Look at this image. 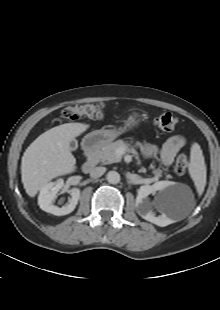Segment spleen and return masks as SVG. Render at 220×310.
Listing matches in <instances>:
<instances>
[{"instance_id": "spleen-1", "label": "spleen", "mask_w": 220, "mask_h": 310, "mask_svg": "<svg viewBox=\"0 0 220 310\" xmlns=\"http://www.w3.org/2000/svg\"><path fill=\"white\" fill-rule=\"evenodd\" d=\"M189 173L198 193L202 194L206 185V165L198 143H194L191 147Z\"/></svg>"}]
</instances>
